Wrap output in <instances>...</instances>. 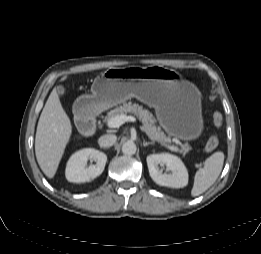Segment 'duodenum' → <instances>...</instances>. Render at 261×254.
I'll use <instances>...</instances> for the list:
<instances>
[{
    "instance_id": "obj_1",
    "label": "duodenum",
    "mask_w": 261,
    "mask_h": 254,
    "mask_svg": "<svg viewBox=\"0 0 261 254\" xmlns=\"http://www.w3.org/2000/svg\"><path fill=\"white\" fill-rule=\"evenodd\" d=\"M97 117L95 111L90 110L88 106L82 105L77 112V123L84 132H91L96 126Z\"/></svg>"
}]
</instances>
